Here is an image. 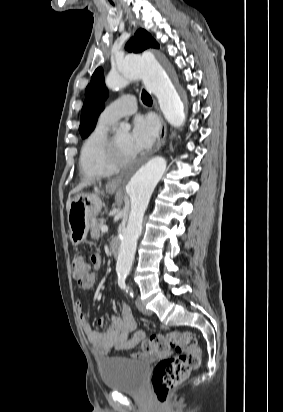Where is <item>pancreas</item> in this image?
Wrapping results in <instances>:
<instances>
[{
	"label": "pancreas",
	"mask_w": 283,
	"mask_h": 412,
	"mask_svg": "<svg viewBox=\"0 0 283 412\" xmlns=\"http://www.w3.org/2000/svg\"><path fill=\"white\" fill-rule=\"evenodd\" d=\"M104 219H94L91 223V237L98 239L100 237L101 227L104 225Z\"/></svg>",
	"instance_id": "1"
}]
</instances>
